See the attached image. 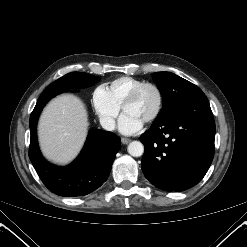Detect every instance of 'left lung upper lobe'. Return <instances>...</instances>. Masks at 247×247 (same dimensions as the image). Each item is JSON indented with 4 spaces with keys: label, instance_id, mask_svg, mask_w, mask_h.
I'll list each match as a JSON object with an SVG mask.
<instances>
[{
    "label": "left lung upper lobe",
    "instance_id": "5c2ea615",
    "mask_svg": "<svg viewBox=\"0 0 247 247\" xmlns=\"http://www.w3.org/2000/svg\"><path fill=\"white\" fill-rule=\"evenodd\" d=\"M152 76L163 97L158 118L172 115L186 102L206 98L199 87L173 73L156 72Z\"/></svg>",
    "mask_w": 247,
    "mask_h": 247
}]
</instances>
